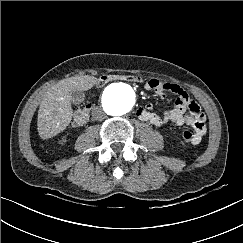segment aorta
Listing matches in <instances>:
<instances>
[{"mask_svg":"<svg viewBox=\"0 0 243 243\" xmlns=\"http://www.w3.org/2000/svg\"><path fill=\"white\" fill-rule=\"evenodd\" d=\"M130 91L129 85L122 83L111 84L103 94L104 106L116 116L128 113L133 106Z\"/></svg>","mask_w":243,"mask_h":243,"instance_id":"762f6f07","label":"aorta"}]
</instances>
